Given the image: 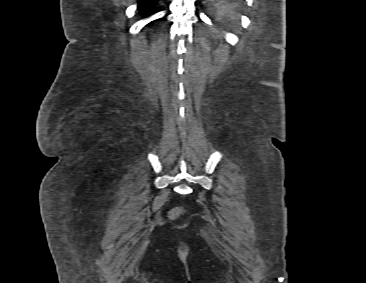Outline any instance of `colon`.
<instances>
[{
  "mask_svg": "<svg viewBox=\"0 0 366 283\" xmlns=\"http://www.w3.org/2000/svg\"><path fill=\"white\" fill-rule=\"evenodd\" d=\"M184 212V210L182 208H176L171 212V218H177L178 216H180L182 213Z\"/></svg>",
  "mask_w": 366,
  "mask_h": 283,
  "instance_id": "1",
  "label": "colon"
}]
</instances>
